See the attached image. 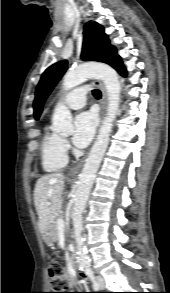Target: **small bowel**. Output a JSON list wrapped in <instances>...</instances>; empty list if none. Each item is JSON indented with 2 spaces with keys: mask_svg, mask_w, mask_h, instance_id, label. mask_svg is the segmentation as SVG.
<instances>
[{
  "mask_svg": "<svg viewBox=\"0 0 170 293\" xmlns=\"http://www.w3.org/2000/svg\"><path fill=\"white\" fill-rule=\"evenodd\" d=\"M86 280V276L84 274H81V283H85ZM72 284H75V282H72Z\"/></svg>",
  "mask_w": 170,
  "mask_h": 293,
  "instance_id": "c3829d8e",
  "label": "small bowel"
}]
</instances>
